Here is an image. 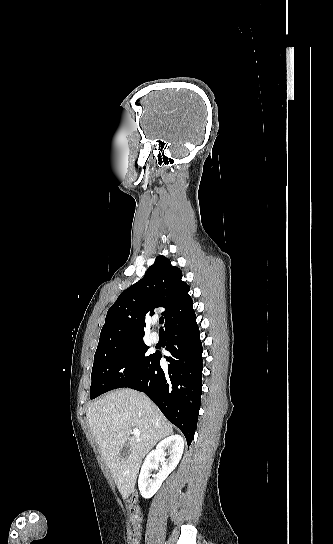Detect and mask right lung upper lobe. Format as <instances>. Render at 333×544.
<instances>
[{"label":"right lung upper lobe","mask_w":333,"mask_h":544,"mask_svg":"<svg viewBox=\"0 0 333 544\" xmlns=\"http://www.w3.org/2000/svg\"><path fill=\"white\" fill-rule=\"evenodd\" d=\"M182 271L164 256H157L140 281L123 291L108 310L99 341L140 338L145 335V316L164 307L165 328L194 313L190 287Z\"/></svg>","instance_id":"cb5924a9"}]
</instances>
